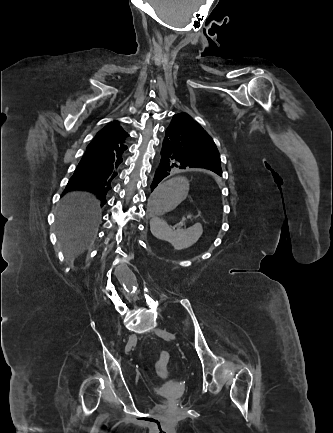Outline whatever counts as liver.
Here are the masks:
<instances>
[{"label":"liver","mask_w":333,"mask_h":433,"mask_svg":"<svg viewBox=\"0 0 333 433\" xmlns=\"http://www.w3.org/2000/svg\"><path fill=\"white\" fill-rule=\"evenodd\" d=\"M100 216V201L93 194L75 191L63 197L57 212L56 232L70 262L93 242Z\"/></svg>","instance_id":"liver-1"}]
</instances>
